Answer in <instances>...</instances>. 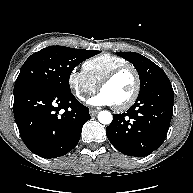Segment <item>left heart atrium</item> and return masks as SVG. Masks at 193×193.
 Here are the masks:
<instances>
[{
	"instance_id": "obj_1",
	"label": "left heart atrium",
	"mask_w": 193,
	"mask_h": 193,
	"mask_svg": "<svg viewBox=\"0 0 193 193\" xmlns=\"http://www.w3.org/2000/svg\"><path fill=\"white\" fill-rule=\"evenodd\" d=\"M88 104L93 106H111L113 105L111 99L102 91L88 100Z\"/></svg>"
}]
</instances>
